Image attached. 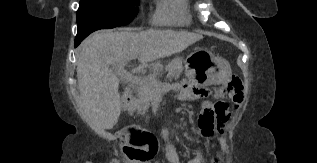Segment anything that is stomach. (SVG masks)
I'll use <instances>...</instances> for the list:
<instances>
[{
  "mask_svg": "<svg viewBox=\"0 0 317 163\" xmlns=\"http://www.w3.org/2000/svg\"><path fill=\"white\" fill-rule=\"evenodd\" d=\"M187 75L196 81H204L205 84H220L228 80L231 68L223 58L206 51L201 72L199 68L186 66Z\"/></svg>",
  "mask_w": 317,
  "mask_h": 163,
  "instance_id": "0dacf381",
  "label": "stomach"
}]
</instances>
